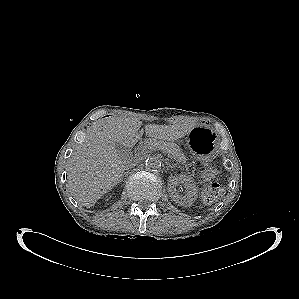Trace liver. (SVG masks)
I'll return each instance as SVG.
<instances>
[{
    "mask_svg": "<svg viewBox=\"0 0 299 299\" xmlns=\"http://www.w3.org/2000/svg\"><path fill=\"white\" fill-rule=\"evenodd\" d=\"M141 125L136 118L107 117L89 128L68 163L67 188L78 203L87 208L94 206L120 181L129 160L117 153L115 145L134 146L142 137V132H138ZM190 130L185 124L145 126L148 137L165 141L182 138Z\"/></svg>",
    "mask_w": 299,
    "mask_h": 299,
    "instance_id": "1",
    "label": "liver"
}]
</instances>
